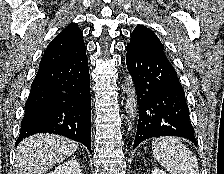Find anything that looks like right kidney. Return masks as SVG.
<instances>
[{
    "mask_svg": "<svg viewBox=\"0 0 224 174\" xmlns=\"http://www.w3.org/2000/svg\"><path fill=\"white\" fill-rule=\"evenodd\" d=\"M49 174H82V171L80 164L75 159H72L60 164Z\"/></svg>",
    "mask_w": 224,
    "mask_h": 174,
    "instance_id": "right-kidney-1",
    "label": "right kidney"
}]
</instances>
